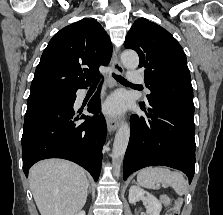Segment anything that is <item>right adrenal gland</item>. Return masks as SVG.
Segmentation results:
<instances>
[{
    "mask_svg": "<svg viewBox=\"0 0 223 215\" xmlns=\"http://www.w3.org/2000/svg\"><path fill=\"white\" fill-rule=\"evenodd\" d=\"M87 193H91V185H90V183L88 185V191H87Z\"/></svg>",
    "mask_w": 223,
    "mask_h": 215,
    "instance_id": "right-adrenal-gland-1",
    "label": "right adrenal gland"
}]
</instances>
